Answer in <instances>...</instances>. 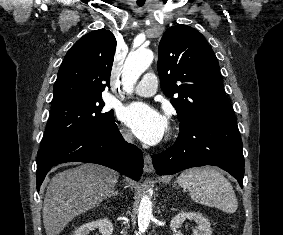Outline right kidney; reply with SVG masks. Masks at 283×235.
<instances>
[{
  "label": "right kidney",
  "mask_w": 283,
  "mask_h": 235,
  "mask_svg": "<svg viewBox=\"0 0 283 235\" xmlns=\"http://www.w3.org/2000/svg\"><path fill=\"white\" fill-rule=\"evenodd\" d=\"M94 228H98L102 235H112L113 232L112 222L104 218L80 226L73 235H88Z\"/></svg>",
  "instance_id": "obj_1"
}]
</instances>
